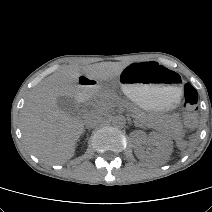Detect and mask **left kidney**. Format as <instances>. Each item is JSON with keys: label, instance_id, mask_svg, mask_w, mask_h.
Masks as SVG:
<instances>
[{"label": "left kidney", "instance_id": "obj_1", "mask_svg": "<svg viewBox=\"0 0 212 212\" xmlns=\"http://www.w3.org/2000/svg\"><path fill=\"white\" fill-rule=\"evenodd\" d=\"M133 134L138 139L135 148V154L138 158L144 159L150 156V154L142 147L143 143H149L155 146V150L152 155L153 157H156L160 161H166L169 159L173 147V142L169 137L158 132H152L149 136H146V134L141 130L135 131Z\"/></svg>", "mask_w": 212, "mask_h": 212}]
</instances>
